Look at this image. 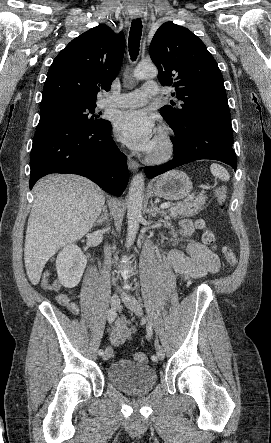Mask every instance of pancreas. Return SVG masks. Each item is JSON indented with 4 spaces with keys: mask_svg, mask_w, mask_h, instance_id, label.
I'll use <instances>...</instances> for the list:
<instances>
[{
    "mask_svg": "<svg viewBox=\"0 0 271 443\" xmlns=\"http://www.w3.org/2000/svg\"><path fill=\"white\" fill-rule=\"evenodd\" d=\"M206 200V196L200 194L197 196L194 202H179V204H173L170 208H164L163 214H169L171 218H179V216H196L199 210H202V206H204Z\"/></svg>",
    "mask_w": 271,
    "mask_h": 443,
    "instance_id": "cf45deb5",
    "label": "pancreas"
}]
</instances>
